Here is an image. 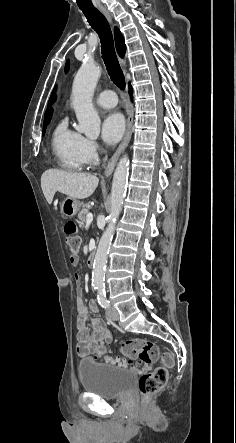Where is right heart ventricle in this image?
I'll return each mask as SVG.
<instances>
[{
  "mask_svg": "<svg viewBox=\"0 0 236 443\" xmlns=\"http://www.w3.org/2000/svg\"><path fill=\"white\" fill-rule=\"evenodd\" d=\"M83 139L80 133L69 127L67 119L57 124L51 137V150L59 167L68 171H79L84 167Z\"/></svg>",
  "mask_w": 236,
  "mask_h": 443,
  "instance_id": "e07e8e85",
  "label": "right heart ventricle"
}]
</instances>
